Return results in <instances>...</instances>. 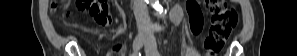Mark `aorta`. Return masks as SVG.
I'll use <instances>...</instances> for the list:
<instances>
[{
	"instance_id": "762f6f07",
	"label": "aorta",
	"mask_w": 297,
	"mask_h": 56,
	"mask_svg": "<svg viewBox=\"0 0 297 56\" xmlns=\"http://www.w3.org/2000/svg\"><path fill=\"white\" fill-rule=\"evenodd\" d=\"M151 2L153 3L154 7L159 11V15H160L162 18H164L165 15H164V13H163L162 8H161L160 5H159V1H158V0H151Z\"/></svg>"
}]
</instances>
